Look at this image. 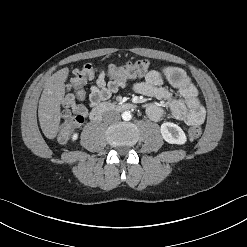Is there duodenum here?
<instances>
[{
	"label": "duodenum",
	"mask_w": 247,
	"mask_h": 247,
	"mask_svg": "<svg viewBox=\"0 0 247 247\" xmlns=\"http://www.w3.org/2000/svg\"><path fill=\"white\" fill-rule=\"evenodd\" d=\"M134 105L131 103H109L104 102L96 107L90 113V119L92 121H99L103 115L111 111H128L133 109Z\"/></svg>",
	"instance_id": "duodenum-1"
}]
</instances>
